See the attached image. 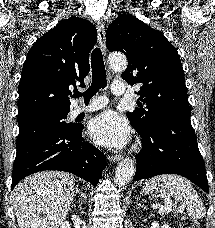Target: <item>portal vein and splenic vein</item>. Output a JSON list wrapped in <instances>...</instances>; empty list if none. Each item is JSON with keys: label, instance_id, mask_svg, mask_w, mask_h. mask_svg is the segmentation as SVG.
Returning a JSON list of instances; mask_svg holds the SVG:
<instances>
[{"label": "portal vein and splenic vein", "instance_id": "portal-vein-and-splenic-vein-1", "mask_svg": "<svg viewBox=\"0 0 215 228\" xmlns=\"http://www.w3.org/2000/svg\"><path fill=\"white\" fill-rule=\"evenodd\" d=\"M151 208H155V210H162L165 214L171 212V208H169V206H161V204H151Z\"/></svg>", "mask_w": 215, "mask_h": 228}]
</instances>
